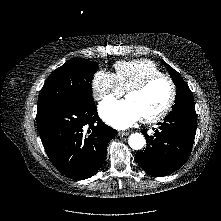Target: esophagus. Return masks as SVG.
Instances as JSON below:
<instances>
[{
    "mask_svg": "<svg viewBox=\"0 0 221 221\" xmlns=\"http://www.w3.org/2000/svg\"><path fill=\"white\" fill-rule=\"evenodd\" d=\"M129 134H130V132H128V131H118V136H127Z\"/></svg>",
    "mask_w": 221,
    "mask_h": 221,
    "instance_id": "esophagus-1",
    "label": "esophagus"
}]
</instances>
